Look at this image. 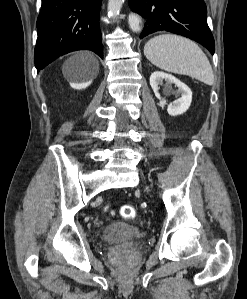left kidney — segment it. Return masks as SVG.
Segmentation results:
<instances>
[{"label":"left kidney","instance_id":"obj_1","mask_svg":"<svg viewBox=\"0 0 247 299\" xmlns=\"http://www.w3.org/2000/svg\"><path fill=\"white\" fill-rule=\"evenodd\" d=\"M163 80L166 81V87H170L171 84H175L178 87L176 95L179 96L181 94V97L168 105V113L171 116L183 114L189 109L192 102V92L190 88L173 75L161 71H156L150 76V85L158 98H160L159 86L163 85Z\"/></svg>","mask_w":247,"mask_h":299}]
</instances>
